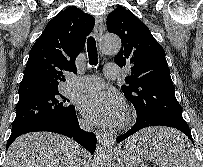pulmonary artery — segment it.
Instances as JSON below:
<instances>
[{
    "label": "pulmonary artery",
    "mask_w": 203,
    "mask_h": 167,
    "mask_svg": "<svg viewBox=\"0 0 203 167\" xmlns=\"http://www.w3.org/2000/svg\"><path fill=\"white\" fill-rule=\"evenodd\" d=\"M105 76L114 79L119 76L120 69L115 64H107L104 68ZM103 86V81L95 75L72 78L70 87L79 91H91L100 89Z\"/></svg>",
    "instance_id": "e3ab8cb5"
}]
</instances>
